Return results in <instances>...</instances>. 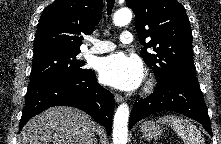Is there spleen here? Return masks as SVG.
<instances>
[{"mask_svg":"<svg viewBox=\"0 0 221 144\" xmlns=\"http://www.w3.org/2000/svg\"><path fill=\"white\" fill-rule=\"evenodd\" d=\"M157 122L169 125L183 140L184 144H205L200 131L188 119L168 115L159 118Z\"/></svg>","mask_w":221,"mask_h":144,"instance_id":"3e777b00","label":"spleen"}]
</instances>
